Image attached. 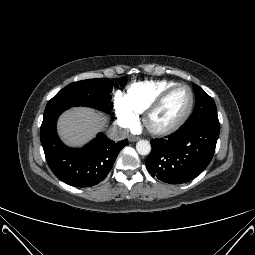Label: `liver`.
Wrapping results in <instances>:
<instances>
[{"label":"liver","instance_id":"1","mask_svg":"<svg viewBox=\"0 0 255 255\" xmlns=\"http://www.w3.org/2000/svg\"><path fill=\"white\" fill-rule=\"evenodd\" d=\"M106 117L94 109L72 108L61 115L57 123L58 134L72 147L84 145L106 126Z\"/></svg>","mask_w":255,"mask_h":255}]
</instances>
